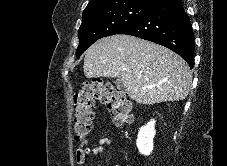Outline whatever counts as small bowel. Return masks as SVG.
<instances>
[{"label": "small bowel", "mask_w": 227, "mask_h": 166, "mask_svg": "<svg viewBox=\"0 0 227 166\" xmlns=\"http://www.w3.org/2000/svg\"><path fill=\"white\" fill-rule=\"evenodd\" d=\"M110 145L111 140L106 136L100 137L95 143H90L88 140H82L76 152L77 164L79 166H84L88 155H99L104 151L105 147Z\"/></svg>", "instance_id": "c3829d8e"}]
</instances>
